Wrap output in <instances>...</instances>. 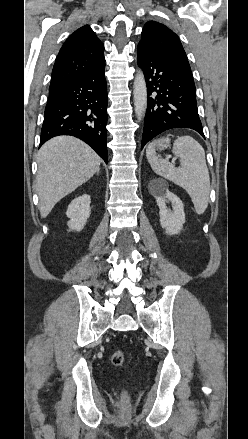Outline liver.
Segmentation results:
<instances>
[{
    "mask_svg": "<svg viewBox=\"0 0 248 439\" xmlns=\"http://www.w3.org/2000/svg\"><path fill=\"white\" fill-rule=\"evenodd\" d=\"M37 163L39 210L41 217L46 218L57 202L99 171L101 158L83 141L58 136L40 148Z\"/></svg>",
    "mask_w": 248,
    "mask_h": 439,
    "instance_id": "liver-1",
    "label": "liver"
}]
</instances>
